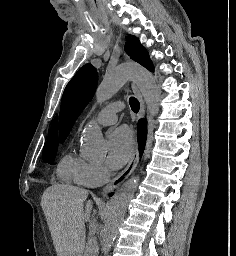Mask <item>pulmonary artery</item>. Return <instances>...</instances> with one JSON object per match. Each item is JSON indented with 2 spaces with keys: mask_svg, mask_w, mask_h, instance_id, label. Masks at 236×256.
I'll list each match as a JSON object with an SVG mask.
<instances>
[{
  "mask_svg": "<svg viewBox=\"0 0 236 256\" xmlns=\"http://www.w3.org/2000/svg\"><path fill=\"white\" fill-rule=\"evenodd\" d=\"M108 105L109 107H106L99 111L95 117V120L99 125H112L117 121V113L121 110V107L114 106V101H109Z\"/></svg>",
  "mask_w": 236,
  "mask_h": 256,
  "instance_id": "1",
  "label": "pulmonary artery"
}]
</instances>
